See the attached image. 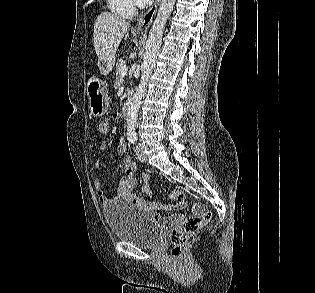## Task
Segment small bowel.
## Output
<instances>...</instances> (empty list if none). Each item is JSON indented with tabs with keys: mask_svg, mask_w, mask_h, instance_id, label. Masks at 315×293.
<instances>
[{
	"mask_svg": "<svg viewBox=\"0 0 315 293\" xmlns=\"http://www.w3.org/2000/svg\"><path fill=\"white\" fill-rule=\"evenodd\" d=\"M107 143L105 141L101 142L99 145V149L101 151H105L107 149ZM117 151L119 154L123 155V160L121 163V177L118 181L116 188V195L113 198H109L105 195L104 190L102 188L101 180L97 177H93V186L95 188L97 197L99 202L103 207H107L112 203L118 202H128L135 206L145 208L150 210L151 212H157L160 210L173 211L176 213L177 209L181 208V205H171V204H163L157 201H146L142 198L136 197L133 194V189L137 185V164L131 159V157L127 154V145L123 139H120L117 144ZM101 166V161L96 160L94 167L98 169ZM149 177H144V184L142 186V192L151 195L152 191L150 190L147 182ZM184 216L182 214H174L165 219L164 221L167 223H177L182 220Z\"/></svg>",
	"mask_w": 315,
	"mask_h": 293,
	"instance_id": "1",
	"label": "small bowel"
}]
</instances>
